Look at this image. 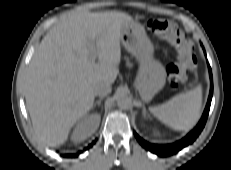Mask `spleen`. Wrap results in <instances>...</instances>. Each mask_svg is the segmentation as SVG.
<instances>
[{
	"label": "spleen",
	"instance_id": "1",
	"mask_svg": "<svg viewBox=\"0 0 231 170\" xmlns=\"http://www.w3.org/2000/svg\"><path fill=\"white\" fill-rule=\"evenodd\" d=\"M201 105L202 90L198 86L172 97L161 105L151 107L150 112L175 130H188L199 120Z\"/></svg>",
	"mask_w": 231,
	"mask_h": 170
}]
</instances>
